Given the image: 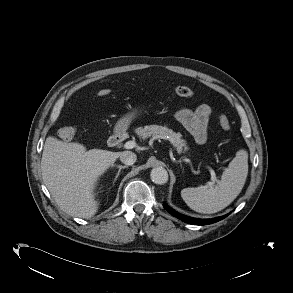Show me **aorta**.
Segmentation results:
<instances>
[{
  "instance_id": "762f6f07",
  "label": "aorta",
  "mask_w": 293,
  "mask_h": 293,
  "mask_svg": "<svg viewBox=\"0 0 293 293\" xmlns=\"http://www.w3.org/2000/svg\"><path fill=\"white\" fill-rule=\"evenodd\" d=\"M151 180L158 185L167 183L168 181V172L163 167H155L151 170Z\"/></svg>"
}]
</instances>
